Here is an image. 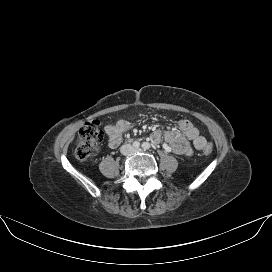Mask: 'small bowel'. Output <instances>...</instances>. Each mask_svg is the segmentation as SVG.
I'll use <instances>...</instances> for the list:
<instances>
[{"instance_id": "obj_1", "label": "small bowel", "mask_w": 272, "mask_h": 272, "mask_svg": "<svg viewBox=\"0 0 272 272\" xmlns=\"http://www.w3.org/2000/svg\"><path fill=\"white\" fill-rule=\"evenodd\" d=\"M130 125V121L120 119L105 127L108 142L111 147H116L120 143L123 132L127 130ZM178 126L180 131L171 130L161 132L155 130L151 134L152 141L159 143L164 140L170 151L185 157H190L193 154L194 149L202 150L206 146V138L200 134L198 128L195 127L190 120L181 119L178 122Z\"/></svg>"}]
</instances>
